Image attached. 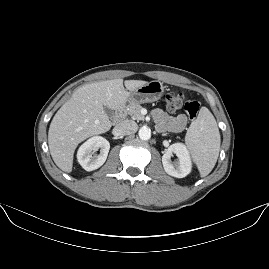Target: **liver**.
<instances>
[{
  "label": "liver",
  "instance_id": "obj_1",
  "mask_svg": "<svg viewBox=\"0 0 269 269\" xmlns=\"http://www.w3.org/2000/svg\"><path fill=\"white\" fill-rule=\"evenodd\" d=\"M146 82L113 79L85 85L76 90L54 116L48 135L49 149L56 165L63 171L72 169L73 152L85 138L104 133L111 121L103 106L118 109L130 94Z\"/></svg>",
  "mask_w": 269,
  "mask_h": 269
}]
</instances>
